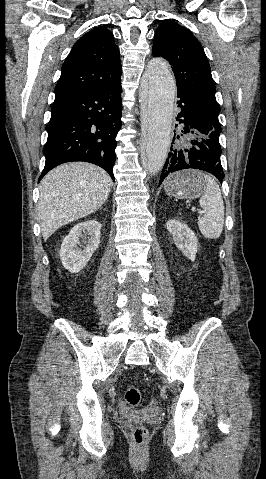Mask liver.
Returning a JSON list of instances; mask_svg holds the SVG:
<instances>
[{"label": "liver", "instance_id": "6515ba94", "mask_svg": "<svg viewBox=\"0 0 266 479\" xmlns=\"http://www.w3.org/2000/svg\"><path fill=\"white\" fill-rule=\"evenodd\" d=\"M111 186L108 173L90 163H67L50 171L40 183L37 207L44 241L60 227L97 211Z\"/></svg>", "mask_w": 266, "mask_h": 479}]
</instances>
